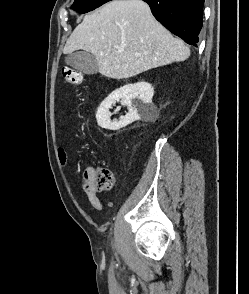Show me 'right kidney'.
Segmentation results:
<instances>
[{
    "mask_svg": "<svg viewBox=\"0 0 249 294\" xmlns=\"http://www.w3.org/2000/svg\"><path fill=\"white\" fill-rule=\"evenodd\" d=\"M154 89L148 82L141 81L135 84H128L113 91L99 106L96 112L97 123L101 128L108 130H119L132 122L139 120H151L157 115V107L152 103ZM116 101L128 106V113L121 116L119 120H111L109 109ZM117 107L115 112H118Z\"/></svg>",
    "mask_w": 249,
    "mask_h": 294,
    "instance_id": "right-kidney-1",
    "label": "right kidney"
}]
</instances>
